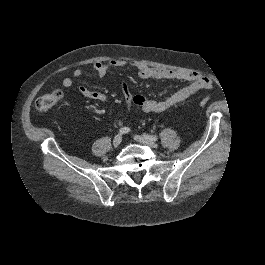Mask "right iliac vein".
I'll return each mask as SVG.
<instances>
[{
	"label": "right iliac vein",
	"instance_id": "obj_1",
	"mask_svg": "<svg viewBox=\"0 0 265 265\" xmlns=\"http://www.w3.org/2000/svg\"><path fill=\"white\" fill-rule=\"evenodd\" d=\"M121 142H122V136L121 134H118L113 139V146L118 147L121 144Z\"/></svg>",
	"mask_w": 265,
	"mask_h": 265
}]
</instances>
